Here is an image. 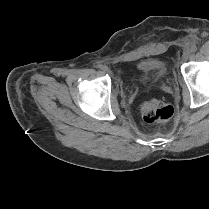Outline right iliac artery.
<instances>
[{"label": "right iliac artery", "mask_w": 209, "mask_h": 209, "mask_svg": "<svg viewBox=\"0 0 209 209\" xmlns=\"http://www.w3.org/2000/svg\"><path fill=\"white\" fill-rule=\"evenodd\" d=\"M97 67L100 68V69H103L104 68L103 65H98Z\"/></svg>", "instance_id": "right-iliac-artery-1"}]
</instances>
